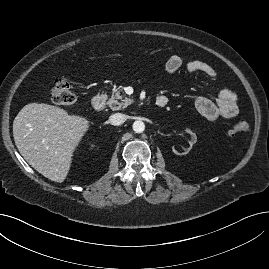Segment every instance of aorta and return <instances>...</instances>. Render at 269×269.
<instances>
[{
    "instance_id": "762f6f07",
    "label": "aorta",
    "mask_w": 269,
    "mask_h": 269,
    "mask_svg": "<svg viewBox=\"0 0 269 269\" xmlns=\"http://www.w3.org/2000/svg\"><path fill=\"white\" fill-rule=\"evenodd\" d=\"M133 130L136 133H142L145 130V124L142 121H135L133 123Z\"/></svg>"
}]
</instances>
